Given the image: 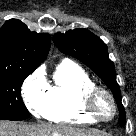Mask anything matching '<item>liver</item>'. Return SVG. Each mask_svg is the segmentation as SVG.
Instances as JSON below:
<instances>
[{"label": "liver", "instance_id": "1", "mask_svg": "<svg viewBox=\"0 0 136 136\" xmlns=\"http://www.w3.org/2000/svg\"><path fill=\"white\" fill-rule=\"evenodd\" d=\"M0 136H107L96 129H79L51 124H17L11 121L0 122Z\"/></svg>", "mask_w": 136, "mask_h": 136}]
</instances>
